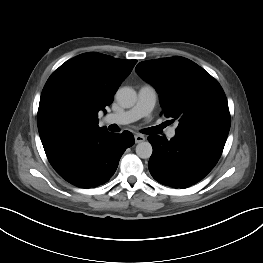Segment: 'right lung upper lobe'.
Returning a JSON list of instances; mask_svg holds the SVG:
<instances>
[{"label":"right lung upper lobe","mask_w":263,"mask_h":263,"mask_svg":"<svg viewBox=\"0 0 263 263\" xmlns=\"http://www.w3.org/2000/svg\"><path fill=\"white\" fill-rule=\"evenodd\" d=\"M136 60H122L89 52L62 64L47 80L39 103L37 124L42 144L67 136L52 121L55 106L63 101L83 113L84 131L100 129L98 112L113 101V95L130 74Z\"/></svg>","instance_id":"cb5924a9"}]
</instances>
